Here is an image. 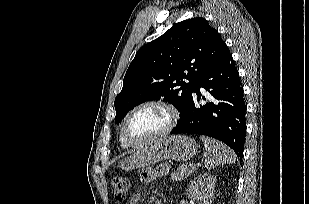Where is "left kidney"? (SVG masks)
<instances>
[{
	"mask_svg": "<svg viewBox=\"0 0 309 204\" xmlns=\"http://www.w3.org/2000/svg\"><path fill=\"white\" fill-rule=\"evenodd\" d=\"M216 176L209 173L200 174L191 182L187 195L191 199L211 204L215 192Z\"/></svg>",
	"mask_w": 309,
	"mask_h": 204,
	"instance_id": "1",
	"label": "left kidney"
}]
</instances>
